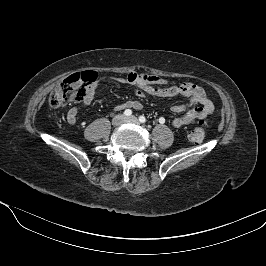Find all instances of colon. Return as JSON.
I'll use <instances>...</instances> for the list:
<instances>
[{
	"instance_id": "1",
	"label": "colon",
	"mask_w": 266,
	"mask_h": 266,
	"mask_svg": "<svg viewBox=\"0 0 266 266\" xmlns=\"http://www.w3.org/2000/svg\"><path fill=\"white\" fill-rule=\"evenodd\" d=\"M97 79V74L93 71L75 73L67 77L49 97V104L53 108L64 107L71 103H79L84 101L87 88ZM205 137V123L200 122L189 133V140L198 144Z\"/></svg>"
}]
</instances>
